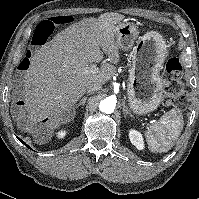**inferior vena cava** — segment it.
Here are the masks:
<instances>
[{
  "instance_id": "obj_1",
  "label": "inferior vena cava",
  "mask_w": 199,
  "mask_h": 199,
  "mask_svg": "<svg viewBox=\"0 0 199 199\" xmlns=\"http://www.w3.org/2000/svg\"><path fill=\"white\" fill-rule=\"evenodd\" d=\"M101 88H102V85L100 83L95 82L87 87L86 92L88 93L96 92V91H99Z\"/></svg>"
}]
</instances>
